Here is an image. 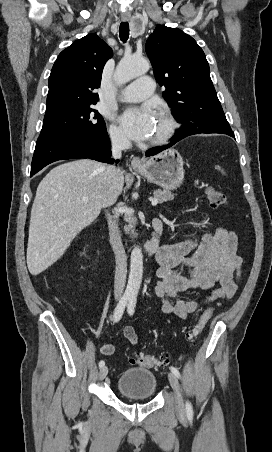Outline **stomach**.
<instances>
[{
	"label": "stomach",
	"instance_id": "obj_1",
	"mask_svg": "<svg viewBox=\"0 0 272 452\" xmlns=\"http://www.w3.org/2000/svg\"><path fill=\"white\" fill-rule=\"evenodd\" d=\"M134 168L149 182L165 190L178 188L184 179L183 158L175 149L165 150Z\"/></svg>",
	"mask_w": 272,
	"mask_h": 452
}]
</instances>
